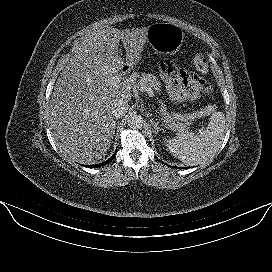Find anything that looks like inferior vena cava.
Returning a JSON list of instances; mask_svg holds the SVG:
<instances>
[{
	"label": "inferior vena cava",
	"instance_id": "602c4592",
	"mask_svg": "<svg viewBox=\"0 0 272 272\" xmlns=\"http://www.w3.org/2000/svg\"><path fill=\"white\" fill-rule=\"evenodd\" d=\"M128 109V103L120 99L114 103L112 107V112L116 118H120L127 113Z\"/></svg>",
	"mask_w": 272,
	"mask_h": 272
}]
</instances>
